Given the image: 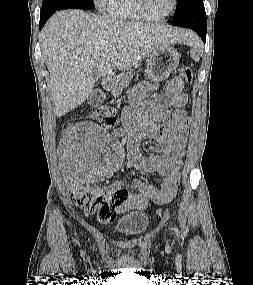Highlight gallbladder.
I'll list each match as a JSON object with an SVG mask.
<instances>
[{"label": "gallbladder", "instance_id": "obj_1", "mask_svg": "<svg viewBox=\"0 0 253 285\" xmlns=\"http://www.w3.org/2000/svg\"><path fill=\"white\" fill-rule=\"evenodd\" d=\"M98 72H97V70L96 69H94V71H93V77L95 78V79H97L98 78Z\"/></svg>", "mask_w": 253, "mask_h": 285}]
</instances>
